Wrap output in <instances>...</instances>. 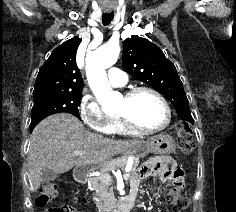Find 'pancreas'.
<instances>
[{
    "instance_id": "obj_1",
    "label": "pancreas",
    "mask_w": 236,
    "mask_h": 212,
    "mask_svg": "<svg viewBox=\"0 0 236 212\" xmlns=\"http://www.w3.org/2000/svg\"><path fill=\"white\" fill-rule=\"evenodd\" d=\"M127 163V158H122L118 164L111 165V167L116 168L119 167L124 170ZM139 164V159H134L132 169L128 174V179L135 173L136 168ZM108 170H103L102 175L98 177H92L90 179V185L92 189L95 191V196L93 200L95 201L96 207L99 211H106L111 207L110 198L112 196V190L109 187L110 182L103 180V175L107 174Z\"/></svg>"
}]
</instances>
